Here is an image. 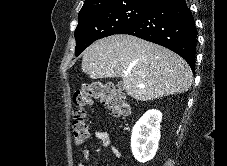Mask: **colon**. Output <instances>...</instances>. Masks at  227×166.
<instances>
[{
	"label": "colon",
	"mask_w": 227,
	"mask_h": 166,
	"mask_svg": "<svg viewBox=\"0 0 227 166\" xmlns=\"http://www.w3.org/2000/svg\"><path fill=\"white\" fill-rule=\"evenodd\" d=\"M92 98L99 99L115 117L130 113V104L122 91L97 81L84 84L73 96L72 136L76 143H85L90 138L87 109Z\"/></svg>",
	"instance_id": "5ec220e1"
}]
</instances>
